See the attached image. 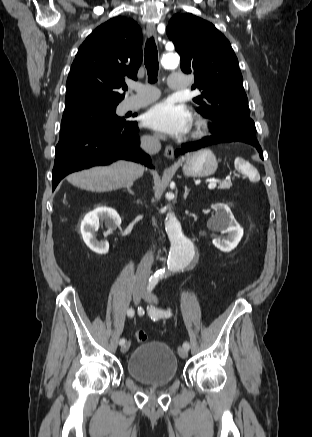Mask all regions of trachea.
Masks as SVG:
<instances>
[{
	"mask_svg": "<svg viewBox=\"0 0 312 437\" xmlns=\"http://www.w3.org/2000/svg\"><path fill=\"white\" fill-rule=\"evenodd\" d=\"M144 63L148 73V80L150 83H154L157 80L159 63L158 51L153 37L146 42Z\"/></svg>",
	"mask_w": 312,
	"mask_h": 437,
	"instance_id": "trachea-1",
	"label": "trachea"
}]
</instances>
